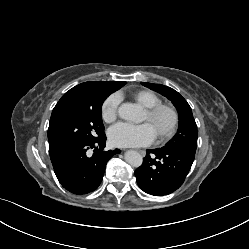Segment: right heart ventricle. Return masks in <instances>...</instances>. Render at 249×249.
<instances>
[{
    "instance_id": "1",
    "label": "right heart ventricle",
    "mask_w": 249,
    "mask_h": 249,
    "mask_svg": "<svg viewBox=\"0 0 249 249\" xmlns=\"http://www.w3.org/2000/svg\"><path fill=\"white\" fill-rule=\"evenodd\" d=\"M129 95L144 108L152 107L156 104L161 103L160 97L151 90L140 89L130 92Z\"/></svg>"
}]
</instances>
